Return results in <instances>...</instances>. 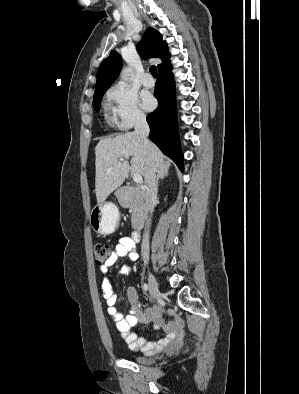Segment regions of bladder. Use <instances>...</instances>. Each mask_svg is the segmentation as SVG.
<instances>
[{"mask_svg": "<svg viewBox=\"0 0 299 394\" xmlns=\"http://www.w3.org/2000/svg\"><path fill=\"white\" fill-rule=\"evenodd\" d=\"M134 360L139 364H149L152 362L151 359L144 356H134Z\"/></svg>", "mask_w": 299, "mask_h": 394, "instance_id": "obj_1", "label": "bladder"}]
</instances>
